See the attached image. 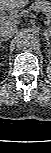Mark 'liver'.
<instances>
[{
  "label": "liver",
  "instance_id": "obj_1",
  "mask_svg": "<svg viewBox=\"0 0 51 153\" xmlns=\"http://www.w3.org/2000/svg\"><path fill=\"white\" fill-rule=\"evenodd\" d=\"M30 0H0V10L1 11H14L16 9L24 8L28 5ZM2 23H14L19 24L18 20H5L0 22V26Z\"/></svg>",
  "mask_w": 51,
  "mask_h": 153
}]
</instances>
